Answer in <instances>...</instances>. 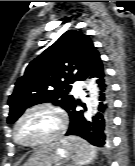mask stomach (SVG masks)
<instances>
[{
    "label": "stomach",
    "mask_w": 135,
    "mask_h": 166,
    "mask_svg": "<svg viewBox=\"0 0 135 166\" xmlns=\"http://www.w3.org/2000/svg\"><path fill=\"white\" fill-rule=\"evenodd\" d=\"M24 166H76L74 152L62 141L43 146Z\"/></svg>",
    "instance_id": "0dacf381"
}]
</instances>
